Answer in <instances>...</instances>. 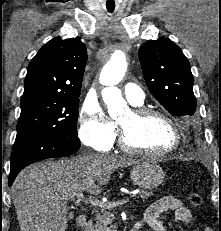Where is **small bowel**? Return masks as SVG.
<instances>
[{"instance_id": "1", "label": "small bowel", "mask_w": 221, "mask_h": 231, "mask_svg": "<svg viewBox=\"0 0 221 231\" xmlns=\"http://www.w3.org/2000/svg\"><path fill=\"white\" fill-rule=\"evenodd\" d=\"M167 211H174L177 221L186 225L192 224L193 215L191 210L184 205L180 199L174 196H165L155 201L147 208L143 220L137 223L139 229L147 225L153 231H168L160 218V216ZM205 231L212 230L207 228Z\"/></svg>"}]
</instances>
